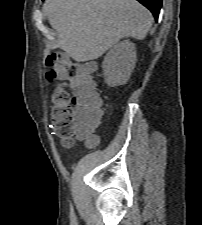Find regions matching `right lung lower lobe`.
Listing matches in <instances>:
<instances>
[{
  "label": "right lung lower lobe",
  "instance_id": "obj_1",
  "mask_svg": "<svg viewBox=\"0 0 202 225\" xmlns=\"http://www.w3.org/2000/svg\"><path fill=\"white\" fill-rule=\"evenodd\" d=\"M137 1H139L145 7H147L152 12L156 20L158 19V15L162 5V0H137Z\"/></svg>",
  "mask_w": 202,
  "mask_h": 225
}]
</instances>
